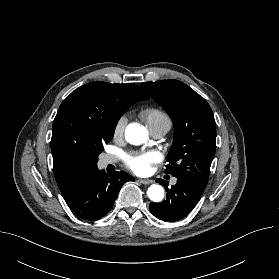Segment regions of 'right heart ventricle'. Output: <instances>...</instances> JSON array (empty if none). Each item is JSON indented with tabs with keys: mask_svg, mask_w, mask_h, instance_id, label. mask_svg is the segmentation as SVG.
<instances>
[{
	"mask_svg": "<svg viewBox=\"0 0 279 279\" xmlns=\"http://www.w3.org/2000/svg\"><path fill=\"white\" fill-rule=\"evenodd\" d=\"M140 117L145 121L150 131L163 124H170L168 115L155 107H147L142 109L140 111Z\"/></svg>",
	"mask_w": 279,
	"mask_h": 279,
	"instance_id": "right-heart-ventricle-1",
	"label": "right heart ventricle"
}]
</instances>
